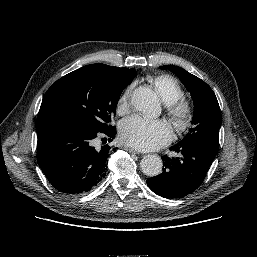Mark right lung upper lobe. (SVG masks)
I'll list each match as a JSON object with an SVG mask.
<instances>
[{
    "label": "right lung upper lobe",
    "mask_w": 257,
    "mask_h": 257,
    "mask_svg": "<svg viewBox=\"0 0 257 257\" xmlns=\"http://www.w3.org/2000/svg\"><path fill=\"white\" fill-rule=\"evenodd\" d=\"M91 65H94V64H91ZM99 65H102L104 68L109 69L111 71H116V70L119 69V67H111V66H108V65H105V64H99ZM42 128H43V126L36 125L37 132H39Z\"/></svg>",
    "instance_id": "obj_1"
}]
</instances>
